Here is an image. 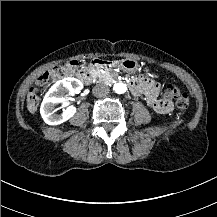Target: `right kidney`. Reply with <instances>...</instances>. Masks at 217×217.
<instances>
[{
	"instance_id": "obj_1",
	"label": "right kidney",
	"mask_w": 217,
	"mask_h": 217,
	"mask_svg": "<svg viewBox=\"0 0 217 217\" xmlns=\"http://www.w3.org/2000/svg\"><path fill=\"white\" fill-rule=\"evenodd\" d=\"M82 89V82L76 78L68 77L57 81L46 93L40 107V114L45 123L49 125H58L71 118L76 113L75 106L70 105L66 107L62 114L55 113V106L58 103L67 102L64 97L65 92L74 95L79 93Z\"/></svg>"
}]
</instances>
